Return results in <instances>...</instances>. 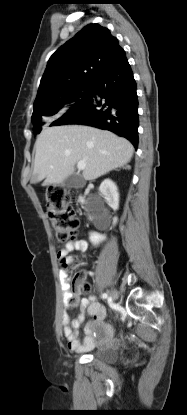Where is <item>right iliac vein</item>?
I'll return each instance as SVG.
<instances>
[{
  "label": "right iliac vein",
  "mask_w": 187,
  "mask_h": 415,
  "mask_svg": "<svg viewBox=\"0 0 187 415\" xmlns=\"http://www.w3.org/2000/svg\"><path fill=\"white\" fill-rule=\"evenodd\" d=\"M109 295L113 301H116L119 296L118 292L115 289L110 290Z\"/></svg>",
  "instance_id": "1"
}]
</instances>
